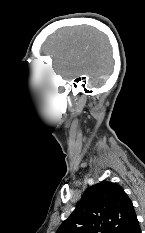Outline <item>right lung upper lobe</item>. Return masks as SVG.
<instances>
[{
    "label": "right lung upper lobe",
    "instance_id": "cb5924a9",
    "mask_svg": "<svg viewBox=\"0 0 145 233\" xmlns=\"http://www.w3.org/2000/svg\"><path fill=\"white\" fill-rule=\"evenodd\" d=\"M136 218L123 188L103 181L89 187L56 233H125Z\"/></svg>",
    "mask_w": 145,
    "mask_h": 233
}]
</instances>
